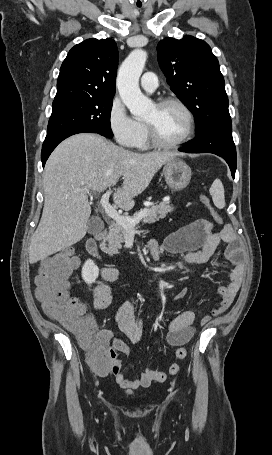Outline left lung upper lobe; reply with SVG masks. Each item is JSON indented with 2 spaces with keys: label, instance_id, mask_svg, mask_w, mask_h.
Returning a JSON list of instances; mask_svg holds the SVG:
<instances>
[{
  "label": "left lung upper lobe",
  "instance_id": "5c2ea615",
  "mask_svg": "<svg viewBox=\"0 0 272 455\" xmlns=\"http://www.w3.org/2000/svg\"><path fill=\"white\" fill-rule=\"evenodd\" d=\"M158 62L171 90L193 113L196 135L231 123L219 62L203 40L167 37L157 46Z\"/></svg>",
  "mask_w": 272,
  "mask_h": 455
}]
</instances>
